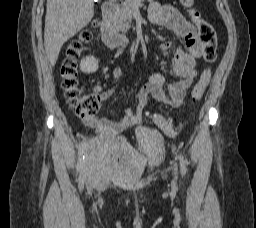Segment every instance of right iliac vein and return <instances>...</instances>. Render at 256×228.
Instances as JSON below:
<instances>
[{
    "label": "right iliac vein",
    "mask_w": 256,
    "mask_h": 228,
    "mask_svg": "<svg viewBox=\"0 0 256 228\" xmlns=\"http://www.w3.org/2000/svg\"><path fill=\"white\" fill-rule=\"evenodd\" d=\"M91 160V157L90 156H87L86 157V166H89V161ZM87 172V167H86V171H85V174Z\"/></svg>",
    "instance_id": "obj_1"
}]
</instances>
